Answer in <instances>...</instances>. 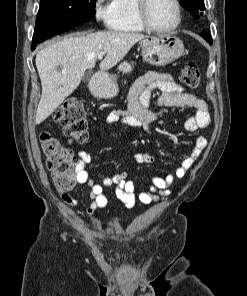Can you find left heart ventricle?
Segmentation results:
<instances>
[{
  "label": "left heart ventricle",
  "instance_id": "b2bd125f",
  "mask_svg": "<svg viewBox=\"0 0 247 296\" xmlns=\"http://www.w3.org/2000/svg\"><path fill=\"white\" fill-rule=\"evenodd\" d=\"M148 17L157 28H168L176 20V9L172 0H149Z\"/></svg>",
  "mask_w": 247,
  "mask_h": 296
}]
</instances>
